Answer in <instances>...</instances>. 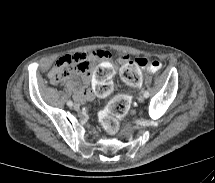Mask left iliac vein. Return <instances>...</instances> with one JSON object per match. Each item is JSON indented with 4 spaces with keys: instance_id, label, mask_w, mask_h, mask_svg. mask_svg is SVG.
<instances>
[{
    "instance_id": "obj_1",
    "label": "left iliac vein",
    "mask_w": 215,
    "mask_h": 183,
    "mask_svg": "<svg viewBox=\"0 0 215 183\" xmlns=\"http://www.w3.org/2000/svg\"><path fill=\"white\" fill-rule=\"evenodd\" d=\"M144 100H145L144 95H141L138 97V102L142 103V102H144Z\"/></svg>"
}]
</instances>
